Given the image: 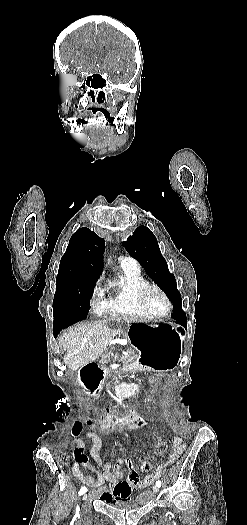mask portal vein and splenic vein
Instances as JSON below:
<instances>
[{"mask_svg":"<svg viewBox=\"0 0 247 525\" xmlns=\"http://www.w3.org/2000/svg\"><path fill=\"white\" fill-rule=\"evenodd\" d=\"M125 356H128V353H125ZM120 364H123V361H119V363L113 364H106V370H116V368H119Z\"/></svg>","mask_w":247,"mask_h":525,"instance_id":"obj_1","label":"portal vein and splenic vein"}]
</instances>
